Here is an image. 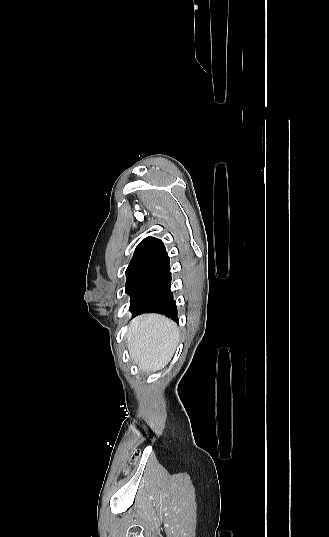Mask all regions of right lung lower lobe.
Returning a JSON list of instances; mask_svg holds the SVG:
<instances>
[{
	"label": "right lung lower lobe",
	"mask_w": 329,
	"mask_h": 537,
	"mask_svg": "<svg viewBox=\"0 0 329 537\" xmlns=\"http://www.w3.org/2000/svg\"><path fill=\"white\" fill-rule=\"evenodd\" d=\"M170 283V261L165 255L149 264L132 284L128 294L131 296L129 310L133 316L158 312L178 321Z\"/></svg>",
	"instance_id": "98d812e1"
}]
</instances>
